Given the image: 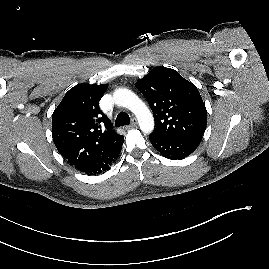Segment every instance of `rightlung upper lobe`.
<instances>
[{
  "instance_id": "1",
  "label": "right lung upper lobe",
  "mask_w": 269,
  "mask_h": 269,
  "mask_svg": "<svg viewBox=\"0 0 269 269\" xmlns=\"http://www.w3.org/2000/svg\"><path fill=\"white\" fill-rule=\"evenodd\" d=\"M107 85L71 88L52 115V137L58 152L77 169L112 148L122 136L99 108Z\"/></svg>"
}]
</instances>
